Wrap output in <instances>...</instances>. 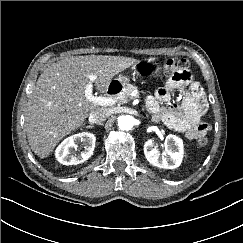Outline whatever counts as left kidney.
Masks as SVG:
<instances>
[{
    "label": "left kidney",
    "mask_w": 243,
    "mask_h": 243,
    "mask_svg": "<svg viewBox=\"0 0 243 243\" xmlns=\"http://www.w3.org/2000/svg\"><path fill=\"white\" fill-rule=\"evenodd\" d=\"M144 154L147 161L158 168L175 169L180 166L183 158V141L176 135H168L164 142V154L161 156L154 145V140L149 139L144 143Z\"/></svg>",
    "instance_id": "1"
}]
</instances>
